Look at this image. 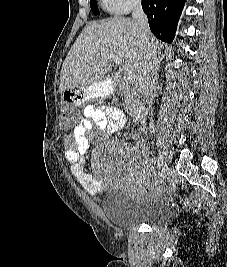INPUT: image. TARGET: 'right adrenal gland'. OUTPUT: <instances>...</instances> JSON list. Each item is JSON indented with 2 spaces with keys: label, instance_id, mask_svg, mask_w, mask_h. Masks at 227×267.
Segmentation results:
<instances>
[{
  "label": "right adrenal gland",
  "instance_id": "obj_1",
  "mask_svg": "<svg viewBox=\"0 0 227 267\" xmlns=\"http://www.w3.org/2000/svg\"><path fill=\"white\" fill-rule=\"evenodd\" d=\"M158 77H159V72H160V64L158 65Z\"/></svg>",
  "mask_w": 227,
  "mask_h": 267
}]
</instances>
